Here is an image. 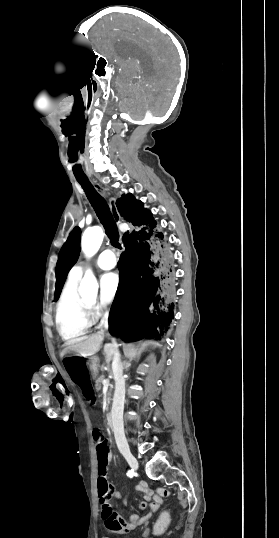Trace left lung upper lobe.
I'll return each mask as SVG.
<instances>
[{
	"instance_id": "left-lung-upper-lobe-1",
	"label": "left lung upper lobe",
	"mask_w": 279,
	"mask_h": 538,
	"mask_svg": "<svg viewBox=\"0 0 279 538\" xmlns=\"http://www.w3.org/2000/svg\"><path fill=\"white\" fill-rule=\"evenodd\" d=\"M80 236V228L75 227L70 233L67 242L63 245L59 252L58 262L56 266L57 281L55 286V301L59 298L69 270L76 263L79 257Z\"/></svg>"
}]
</instances>
